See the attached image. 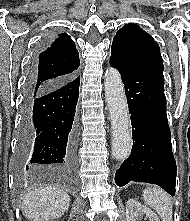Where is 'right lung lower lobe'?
Returning a JSON list of instances; mask_svg holds the SVG:
<instances>
[{"label":"right lung lower lobe","instance_id":"1","mask_svg":"<svg viewBox=\"0 0 190 221\" xmlns=\"http://www.w3.org/2000/svg\"><path fill=\"white\" fill-rule=\"evenodd\" d=\"M30 74L24 92L17 165L37 171L42 165L72 168L76 160L78 127L75 110L80 76L39 89Z\"/></svg>","mask_w":190,"mask_h":221}]
</instances>
